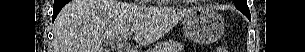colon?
<instances>
[{"instance_id":"5ec220e1","label":"colon","mask_w":305,"mask_h":52,"mask_svg":"<svg viewBox=\"0 0 305 52\" xmlns=\"http://www.w3.org/2000/svg\"><path fill=\"white\" fill-rule=\"evenodd\" d=\"M218 52H227V49H225V48H223V47H220V48L218 49Z\"/></svg>"}]
</instances>
